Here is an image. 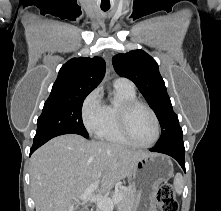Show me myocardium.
Returning a JSON list of instances; mask_svg holds the SVG:
<instances>
[{
    "instance_id": "myocardium-1",
    "label": "myocardium",
    "mask_w": 221,
    "mask_h": 211,
    "mask_svg": "<svg viewBox=\"0 0 221 211\" xmlns=\"http://www.w3.org/2000/svg\"><path fill=\"white\" fill-rule=\"evenodd\" d=\"M140 107L145 108L151 114L154 120V124H155L154 139L151 142L145 143V144L139 143L133 138L131 131H130V125H129V119H130V115L132 111ZM118 119H119V126H120L121 134L133 146L140 147V148H148V147L153 146L160 137L159 119L155 111L145 102H142L137 99L122 102V104L119 106V109H118Z\"/></svg>"
}]
</instances>
